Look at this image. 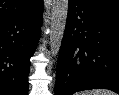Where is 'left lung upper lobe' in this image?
<instances>
[{
  "instance_id": "obj_1",
  "label": "left lung upper lobe",
  "mask_w": 119,
  "mask_h": 95,
  "mask_svg": "<svg viewBox=\"0 0 119 95\" xmlns=\"http://www.w3.org/2000/svg\"><path fill=\"white\" fill-rule=\"evenodd\" d=\"M101 7L119 11V0H87Z\"/></svg>"
}]
</instances>
